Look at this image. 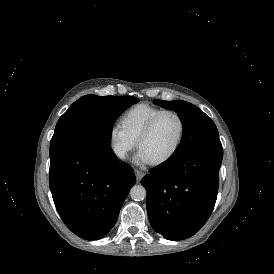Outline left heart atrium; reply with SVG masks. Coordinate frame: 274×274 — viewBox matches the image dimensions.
Listing matches in <instances>:
<instances>
[{"instance_id": "obj_1", "label": "left heart atrium", "mask_w": 274, "mask_h": 274, "mask_svg": "<svg viewBox=\"0 0 274 274\" xmlns=\"http://www.w3.org/2000/svg\"><path fill=\"white\" fill-rule=\"evenodd\" d=\"M134 162L142 164L149 163L144 153L139 150L134 157Z\"/></svg>"}]
</instances>
